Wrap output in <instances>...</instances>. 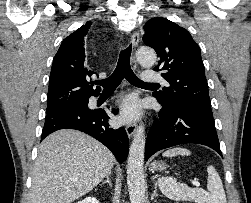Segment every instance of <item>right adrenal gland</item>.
I'll return each instance as SVG.
<instances>
[{
	"instance_id": "2a0ac1e0",
	"label": "right adrenal gland",
	"mask_w": 251,
	"mask_h": 203,
	"mask_svg": "<svg viewBox=\"0 0 251 203\" xmlns=\"http://www.w3.org/2000/svg\"><path fill=\"white\" fill-rule=\"evenodd\" d=\"M106 183H108V185H109L110 187L112 186V184H111V182H110V173L106 176V180L103 181L101 185H104V184H106Z\"/></svg>"
}]
</instances>
